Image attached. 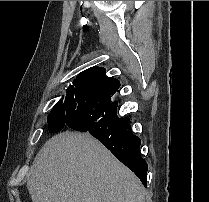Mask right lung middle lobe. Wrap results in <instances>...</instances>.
<instances>
[{"label":"right lung middle lobe","mask_w":209,"mask_h":202,"mask_svg":"<svg viewBox=\"0 0 209 202\" xmlns=\"http://www.w3.org/2000/svg\"><path fill=\"white\" fill-rule=\"evenodd\" d=\"M89 75H78L67 89L66 97H62L48 115L50 133H57L65 126V121L76 115L80 108V92L85 85L92 81Z\"/></svg>","instance_id":"right-lung-middle-lobe-1"}]
</instances>
